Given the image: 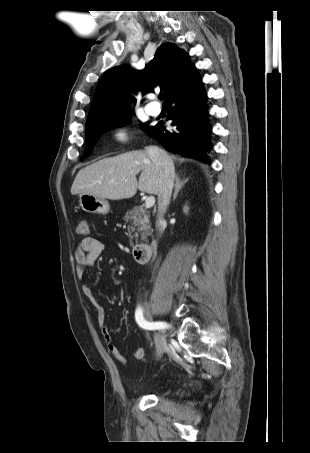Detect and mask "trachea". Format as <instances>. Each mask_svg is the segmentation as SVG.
<instances>
[{
  "mask_svg": "<svg viewBox=\"0 0 310 453\" xmlns=\"http://www.w3.org/2000/svg\"><path fill=\"white\" fill-rule=\"evenodd\" d=\"M159 99H160V100H163V94H160V95H159Z\"/></svg>",
  "mask_w": 310,
  "mask_h": 453,
  "instance_id": "trachea-1",
  "label": "trachea"
}]
</instances>
